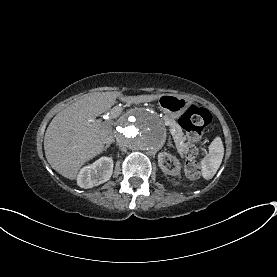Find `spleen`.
<instances>
[{
  "mask_svg": "<svg viewBox=\"0 0 277 277\" xmlns=\"http://www.w3.org/2000/svg\"><path fill=\"white\" fill-rule=\"evenodd\" d=\"M224 156V146L220 136L214 138L209 145V151L201 161V174L205 180L213 178L221 165Z\"/></svg>",
  "mask_w": 277,
  "mask_h": 277,
  "instance_id": "1",
  "label": "spleen"
}]
</instances>
